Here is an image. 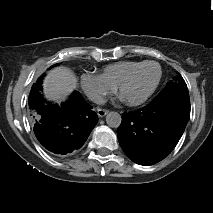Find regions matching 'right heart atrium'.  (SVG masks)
Listing matches in <instances>:
<instances>
[{
	"mask_svg": "<svg viewBox=\"0 0 213 213\" xmlns=\"http://www.w3.org/2000/svg\"><path fill=\"white\" fill-rule=\"evenodd\" d=\"M81 85L87 96L98 104L103 103L105 98L115 90V88L100 75L91 72L82 74Z\"/></svg>",
	"mask_w": 213,
	"mask_h": 213,
	"instance_id": "obj_1",
	"label": "right heart atrium"
}]
</instances>
